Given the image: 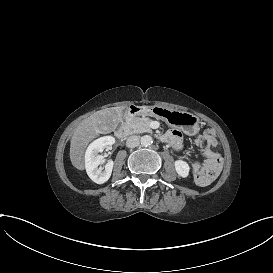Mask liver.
<instances>
[{
  "label": "liver",
  "instance_id": "liver-1",
  "mask_svg": "<svg viewBox=\"0 0 273 273\" xmlns=\"http://www.w3.org/2000/svg\"><path fill=\"white\" fill-rule=\"evenodd\" d=\"M124 108L120 106L96 111L78 125L70 145V159L75 168L84 169V152L87 145L99 134L115 131L119 122L122 121Z\"/></svg>",
  "mask_w": 273,
  "mask_h": 273
}]
</instances>
